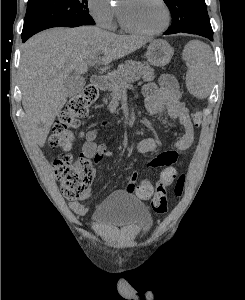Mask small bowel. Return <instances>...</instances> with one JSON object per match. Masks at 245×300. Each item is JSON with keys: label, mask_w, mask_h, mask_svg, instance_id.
Returning <instances> with one entry per match:
<instances>
[{"label": "small bowel", "mask_w": 245, "mask_h": 300, "mask_svg": "<svg viewBox=\"0 0 245 300\" xmlns=\"http://www.w3.org/2000/svg\"><path fill=\"white\" fill-rule=\"evenodd\" d=\"M142 93L147 112L150 115H156L166 109L168 115L176 120L181 128L182 134L175 142V150L161 153L156 158L148 162V167L162 168L160 177L155 184L156 190H165L170 188L177 178L176 169L180 167L184 160L179 159L178 152L190 149L195 142L194 127L191 122L189 112L184 102L179 84L175 77L169 74H163L157 84H145ZM101 127L108 134L112 128V123L109 121L101 122ZM98 130L92 128L84 134V143L82 145L81 157H85L98 164L103 157H112L113 153L107 149L105 144H98L96 139ZM157 149V141L154 138L148 137L140 140L137 144V151L141 154L153 153ZM138 173L132 172L128 178L125 191L129 194L134 193L135 183ZM90 197V192H86L81 199L72 200L69 205L76 214H85L88 207L83 203V200Z\"/></svg>", "instance_id": "small-bowel-1"}]
</instances>
